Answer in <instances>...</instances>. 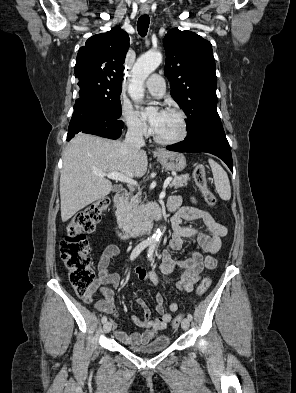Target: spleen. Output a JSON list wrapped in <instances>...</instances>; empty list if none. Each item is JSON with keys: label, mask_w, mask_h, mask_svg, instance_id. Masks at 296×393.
<instances>
[{"label": "spleen", "mask_w": 296, "mask_h": 393, "mask_svg": "<svg viewBox=\"0 0 296 393\" xmlns=\"http://www.w3.org/2000/svg\"><path fill=\"white\" fill-rule=\"evenodd\" d=\"M209 165L212 169L214 184L216 191L222 200H230L231 198V187L227 173L225 170L216 163L213 159L208 160Z\"/></svg>", "instance_id": "obj_1"}]
</instances>
